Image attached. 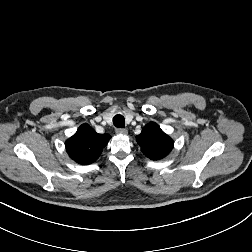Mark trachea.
Wrapping results in <instances>:
<instances>
[{
	"label": "trachea",
	"instance_id": "trachea-1",
	"mask_svg": "<svg viewBox=\"0 0 252 252\" xmlns=\"http://www.w3.org/2000/svg\"><path fill=\"white\" fill-rule=\"evenodd\" d=\"M113 124L117 128H124L125 127V119L122 115L117 114L113 117Z\"/></svg>",
	"mask_w": 252,
	"mask_h": 252
}]
</instances>
